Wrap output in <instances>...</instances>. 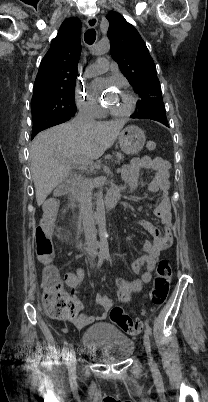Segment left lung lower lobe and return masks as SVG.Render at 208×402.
<instances>
[{"label":"left lung lower lobe","mask_w":208,"mask_h":402,"mask_svg":"<svg viewBox=\"0 0 208 402\" xmlns=\"http://www.w3.org/2000/svg\"><path fill=\"white\" fill-rule=\"evenodd\" d=\"M132 118H133V116H132ZM165 126H168V123L167 124H164Z\"/></svg>","instance_id":"obj_1"}]
</instances>
